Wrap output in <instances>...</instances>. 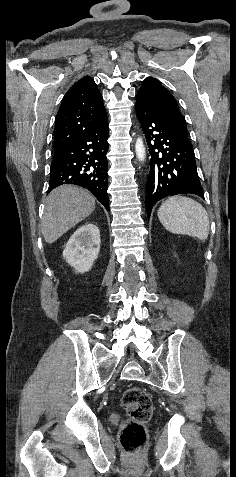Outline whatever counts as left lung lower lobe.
Returning <instances> with one entry per match:
<instances>
[{"instance_id": "obj_1", "label": "left lung lower lobe", "mask_w": 236, "mask_h": 477, "mask_svg": "<svg viewBox=\"0 0 236 477\" xmlns=\"http://www.w3.org/2000/svg\"><path fill=\"white\" fill-rule=\"evenodd\" d=\"M136 114L150 153V171L146 183V211L150 218L154 204L177 194H195L204 198L195 154L188 139L162 119L142 98L137 97Z\"/></svg>"}]
</instances>
